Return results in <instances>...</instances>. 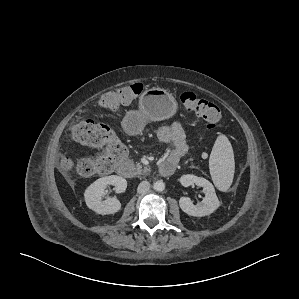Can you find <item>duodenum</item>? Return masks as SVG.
<instances>
[{"mask_svg": "<svg viewBox=\"0 0 299 299\" xmlns=\"http://www.w3.org/2000/svg\"><path fill=\"white\" fill-rule=\"evenodd\" d=\"M176 169V163L173 161L165 160L160 164L159 171L163 176H170ZM119 175L130 178L134 175V169L131 163L123 162L118 167Z\"/></svg>", "mask_w": 299, "mask_h": 299, "instance_id": "duodenum-1", "label": "duodenum"}]
</instances>
